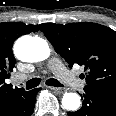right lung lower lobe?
<instances>
[{"label": "right lung lower lobe", "mask_w": 116, "mask_h": 116, "mask_svg": "<svg viewBox=\"0 0 116 116\" xmlns=\"http://www.w3.org/2000/svg\"><path fill=\"white\" fill-rule=\"evenodd\" d=\"M40 89L25 91L2 116H31Z\"/></svg>", "instance_id": "1"}]
</instances>
